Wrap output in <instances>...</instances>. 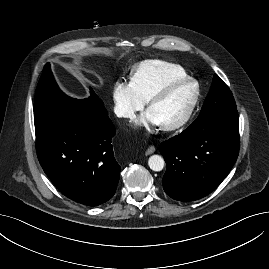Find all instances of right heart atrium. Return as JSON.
<instances>
[{"mask_svg": "<svg viewBox=\"0 0 269 269\" xmlns=\"http://www.w3.org/2000/svg\"><path fill=\"white\" fill-rule=\"evenodd\" d=\"M111 98L116 116L122 119H133L145 106V101L132 83L124 80H117L113 84Z\"/></svg>", "mask_w": 269, "mask_h": 269, "instance_id": "1", "label": "right heart atrium"}]
</instances>
